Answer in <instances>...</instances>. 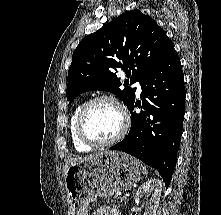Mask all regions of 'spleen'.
Masks as SVG:
<instances>
[{"mask_svg":"<svg viewBox=\"0 0 221 215\" xmlns=\"http://www.w3.org/2000/svg\"><path fill=\"white\" fill-rule=\"evenodd\" d=\"M143 173H144V174H148V171H147V169H146V166H143Z\"/></svg>","mask_w":221,"mask_h":215,"instance_id":"obj_1","label":"spleen"}]
</instances>
